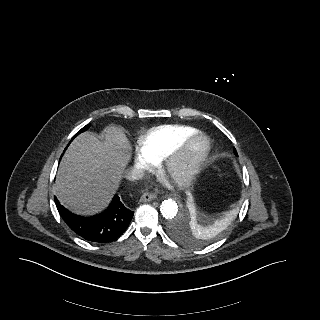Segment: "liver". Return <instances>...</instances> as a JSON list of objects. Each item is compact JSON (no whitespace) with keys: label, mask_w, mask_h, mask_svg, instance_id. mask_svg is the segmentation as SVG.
I'll return each mask as SVG.
<instances>
[{"label":"liver","mask_w":320,"mask_h":320,"mask_svg":"<svg viewBox=\"0 0 320 320\" xmlns=\"http://www.w3.org/2000/svg\"><path fill=\"white\" fill-rule=\"evenodd\" d=\"M123 129H104V141L85 132L69 146L60 162L54 192L60 203L78 215L103 209L118 187L128 160Z\"/></svg>","instance_id":"6515ba94"}]
</instances>
